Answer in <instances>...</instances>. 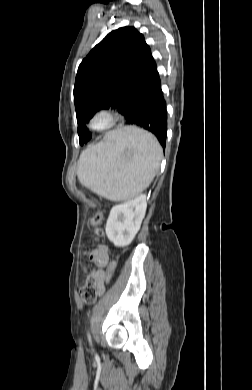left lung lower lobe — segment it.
Segmentation results:
<instances>
[{"label":"left lung lower lobe","mask_w":252,"mask_h":390,"mask_svg":"<svg viewBox=\"0 0 252 390\" xmlns=\"http://www.w3.org/2000/svg\"><path fill=\"white\" fill-rule=\"evenodd\" d=\"M126 124L136 125L152 132L159 140L163 149L166 145L167 109L161 89V80L155 69L129 98L121 112ZM91 138L87 128L83 131L80 144Z\"/></svg>","instance_id":"1"}]
</instances>
